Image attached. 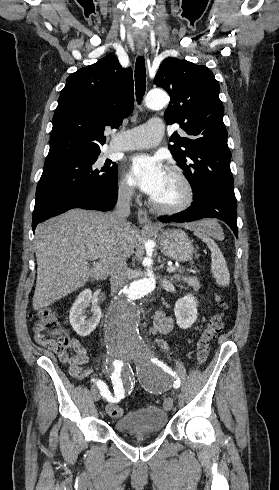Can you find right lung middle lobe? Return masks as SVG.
I'll return each mask as SVG.
<instances>
[{
    "label": "right lung middle lobe",
    "instance_id": "obj_1",
    "mask_svg": "<svg viewBox=\"0 0 279 490\" xmlns=\"http://www.w3.org/2000/svg\"><path fill=\"white\" fill-rule=\"evenodd\" d=\"M100 152L44 163L36 195L49 189L106 188L117 184L116 163H99Z\"/></svg>",
    "mask_w": 279,
    "mask_h": 490
}]
</instances>
